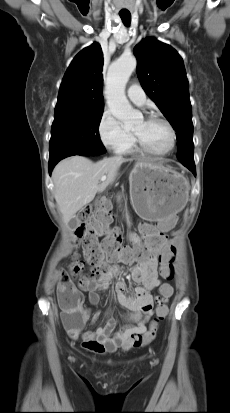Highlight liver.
<instances>
[{
  "label": "liver",
  "instance_id": "liver-1",
  "mask_svg": "<svg viewBox=\"0 0 230 413\" xmlns=\"http://www.w3.org/2000/svg\"><path fill=\"white\" fill-rule=\"evenodd\" d=\"M126 161L111 157L93 163L83 156H72L55 166L52 172L54 197L65 224L115 180ZM102 176L107 177L105 181H100Z\"/></svg>",
  "mask_w": 230,
  "mask_h": 413
}]
</instances>
